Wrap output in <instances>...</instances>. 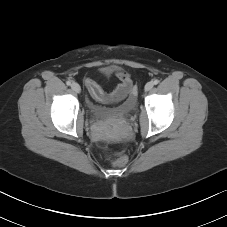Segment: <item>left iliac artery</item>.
<instances>
[{"label": "left iliac artery", "instance_id": "44dca946", "mask_svg": "<svg viewBox=\"0 0 227 227\" xmlns=\"http://www.w3.org/2000/svg\"><path fill=\"white\" fill-rule=\"evenodd\" d=\"M159 83V81L157 80V79H155L154 81H153V84L154 85H157Z\"/></svg>", "mask_w": 227, "mask_h": 227}]
</instances>
